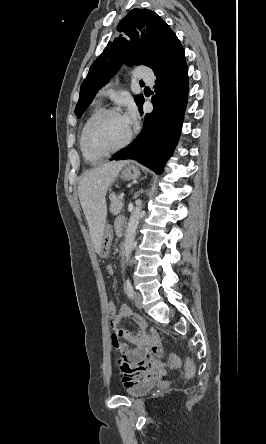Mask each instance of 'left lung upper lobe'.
<instances>
[{
	"instance_id": "left-lung-upper-lobe-1",
	"label": "left lung upper lobe",
	"mask_w": 266,
	"mask_h": 444,
	"mask_svg": "<svg viewBox=\"0 0 266 444\" xmlns=\"http://www.w3.org/2000/svg\"><path fill=\"white\" fill-rule=\"evenodd\" d=\"M117 30L123 34L108 43L81 84L75 108L78 118L87 109L97 90L119 71L123 63L128 66L143 64L157 73L184 52L167 23L148 9H132L119 22ZM135 101L140 107L143 96H135Z\"/></svg>"
}]
</instances>
